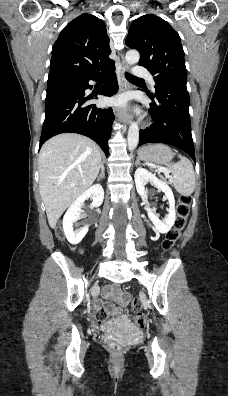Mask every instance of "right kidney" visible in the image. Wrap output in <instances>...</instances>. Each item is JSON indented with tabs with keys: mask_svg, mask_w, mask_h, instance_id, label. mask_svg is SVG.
<instances>
[{
	"mask_svg": "<svg viewBox=\"0 0 228 396\" xmlns=\"http://www.w3.org/2000/svg\"><path fill=\"white\" fill-rule=\"evenodd\" d=\"M91 198L92 204L90 208H97L103 203L104 190L101 185L96 184L85 190L70 205L63 217V230L67 240L73 244H79L88 232V227L79 231H74L73 223L79 219L81 207L86 199Z\"/></svg>",
	"mask_w": 228,
	"mask_h": 396,
	"instance_id": "1",
	"label": "right kidney"
}]
</instances>
